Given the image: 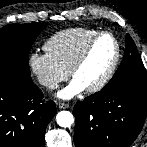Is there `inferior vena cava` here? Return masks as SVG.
<instances>
[{
    "label": "inferior vena cava",
    "mask_w": 147,
    "mask_h": 147,
    "mask_svg": "<svg viewBox=\"0 0 147 147\" xmlns=\"http://www.w3.org/2000/svg\"><path fill=\"white\" fill-rule=\"evenodd\" d=\"M42 84H44L45 86H47V87H49L51 89H56L58 87L57 83L52 82V81H46V80H44L42 82Z\"/></svg>",
    "instance_id": "inferior-vena-cava-1"
}]
</instances>
